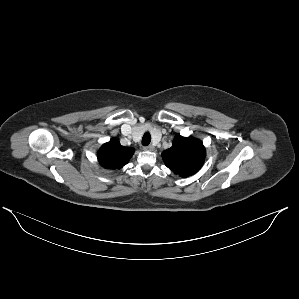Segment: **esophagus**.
<instances>
[{
  "instance_id": "obj_1",
  "label": "esophagus",
  "mask_w": 299,
  "mask_h": 299,
  "mask_svg": "<svg viewBox=\"0 0 299 299\" xmlns=\"http://www.w3.org/2000/svg\"><path fill=\"white\" fill-rule=\"evenodd\" d=\"M144 150H147V151H153V150H154V146H153V145L145 146V147H144Z\"/></svg>"
}]
</instances>
